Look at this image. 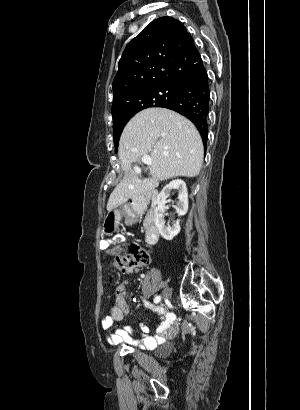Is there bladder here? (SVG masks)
Returning a JSON list of instances; mask_svg holds the SVG:
<instances>
[{"instance_id": "bladder-1", "label": "bladder", "mask_w": 300, "mask_h": 410, "mask_svg": "<svg viewBox=\"0 0 300 410\" xmlns=\"http://www.w3.org/2000/svg\"><path fill=\"white\" fill-rule=\"evenodd\" d=\"M172 350V344L170 342H163L161 345L158 346L157 348V355H162L169 353Z\"/></svg>"}]
</instances>
